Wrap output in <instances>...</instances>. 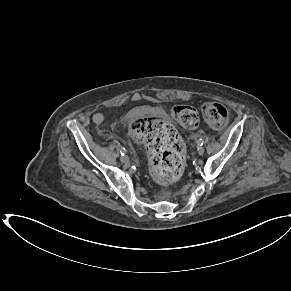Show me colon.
Listing matches in <instances>:
<instances>
[{
	"instance_id": "obj_1",
	"label": "colon",
	"mask_w": 291,
	"mask_h": 291,
	"mask_svg": "<svg viewBox=\"0 0 291 291\" xmlns=\"http://www.w3.org/2000/svg\"><path fill=\"white\" fill-rule=\"evenodd\" d=\"M205 122L216 129L225 126L227 109L218 103H205L201 107ZM173 118L183 127L194 129L199 124L196 109L178 105L172 109ZM134 136L148 149L154 180L162 185L179 180L185 168V147L174 127L158 117H146L132 125Z\"/></svg>"
}]
</instances>
